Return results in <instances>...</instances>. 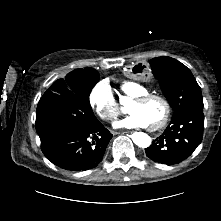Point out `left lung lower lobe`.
Listing matches in <instances>:
<instances>
[{"label": "left lung lower lobe", "mask_w": 221, "mask_h": 221, "mask_svg": "<svg viewBox=\"0 0 221 221\" xmlns=\"http://www.w3.org/2000/svg\"><path fill=\"white\" fill-rule=\"evenodd\" d=\"M204 114L203 108L190 109L185 113L172 118L170 125L164 133L153 140L152 144L145 149L146 156L151 160L174 165L188 158L203 137ZM175 143V153L167 155L170 142Z\"/></svg>", "instance_id": "1"}]
</instances>
